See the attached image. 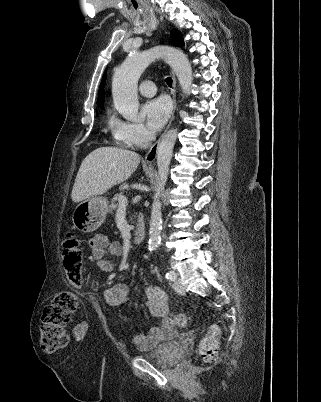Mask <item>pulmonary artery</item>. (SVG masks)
Here are the masks:
<instances>
[{"label":"pulmonary artery","mask_w":321,"mask_h":402,"mask_svg":"<svg viewBox=\"0 0 321 402\" xmlns=\"http://www.w3.org/2000/svg\"><path fill=\"white\" fill-rule=\"evenodd\" d=\"M139 92L147 97L153 96L157 92L156 85L152 81H143L139 84Z\"/></svg>","instance_id":"pulmonary-artery-1"}]
</instances>
